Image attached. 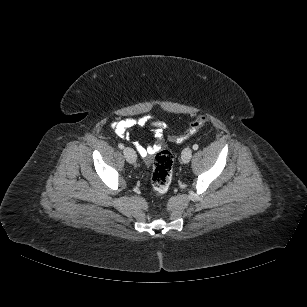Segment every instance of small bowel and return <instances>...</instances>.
I'll return each instance as SVG.
<instances>
[{"label": "small bowel", "mask_w": 307, "mask_h": 307, "mask_svg": "<svg viewBox=\"0 0 307 307\" xmlns=\"http://www.w3.org/2000/svg\"><path fill=\"white\" fill-rule=\"evenodd\" d=\"M149 125L154 132L155 143L148 146L136 145L138 153L142 157H149L158 151L163 145L162 132L166 128L164 121H151V117L146 115L140 118H128L124 120L115 121L111 124L112 129L120 137H126L132 129L135 127H145Z\"/></svg>", "instance_id": "obj_1"}]
</instances>
